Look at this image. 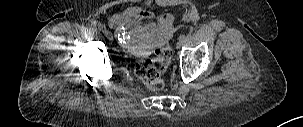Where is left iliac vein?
<instances>
[{
	"mask_svg": "<svg viewBox=\"0 0 303 127\" xmlns=\"http://www.w3.org/2000/svg\"><path fill=\"white\" fill-rule=\"evenodd\" d=\"M186 44H187L186 38L183 35H181L179 37L178 48H181V47L185 46Z\"/></svg>",
	"mask_w": 303,
	"mask_h": 127,
	"instance_id": "obj_1",
	"label": "left iliac vein"
}]
</instances>
